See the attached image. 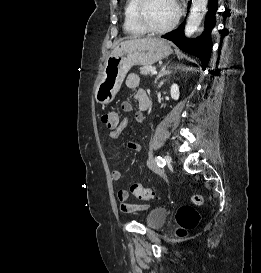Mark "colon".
Segmentation results:
<instances>
[{
	"label": "colon",
	"instance_id": "colon-1",
	"mask_svg": "<svg viewBox=\"0 0 261 273\" xmlns=\"http://www.w3.org/2000/svg\"><path fill=\"white\" fill-rule=\"evenodd\" d=\"M119 121L120 117L116 111H109L102 115V122L108 128H116L119 125ZM130 192L141 200H151L155 198L154 191L139 183H131ZM192 201L195 204H201L203 199L200 195H194ZM176 219L180 227L178 233L179 235H183L186 231L193 229L197 225L200 215L192 206L184 205L178 210Z\"/></svg>",
	"mask_w": 261,
	"mask_h": 273
}]
</instances>
